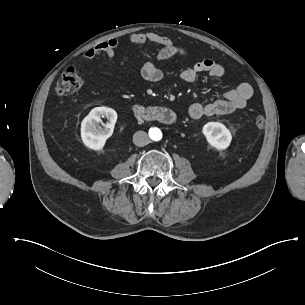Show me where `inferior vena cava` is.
<instances>
[{
  "instance_id": "1",
  "label": "inferior vena cava",
  "mask_w": 305,
  "mask_h": 305,
  "mask_svg": "<svg viewBox=\"0 0 305 305\" xmlns=\"http://www.w3.org/2000/svg\"><path fill=\"white\" fill-rule=\"evenodd\" d=\"M133 143L138 147L146 146L149 143V137L144 131H137L133 135Z\"/></svg>"
}]
</instances>
